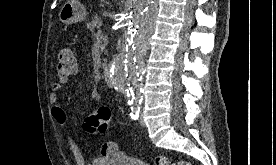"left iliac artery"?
Wrapping results in <instances>:
<instances>
[{"label":"left iliac artery","mask_w":276,"mask_h":165,"mask_svg":"<svg viewBox=\"0 0 276 165\" xmlns=\"http://www.w3.org/2000/svg\"><path fill=\"white\" fill-rule=\"evenodd\" d=\"M140 104H141L140 101H131V102H129L130 116L134 120L138 119V117H139Z\"/></svg>","instance_id":"44dca946"}]
</instances>
